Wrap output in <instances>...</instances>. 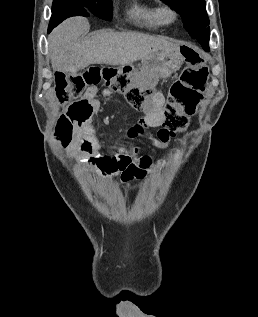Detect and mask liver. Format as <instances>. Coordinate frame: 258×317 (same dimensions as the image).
Segmentation results:
<instances>
[{"mask_svg":"<svg viewBox=\"0 0 258 317\" xmlns=\"http://www.w3.org/2000/svg\"><path fill=\"white\" fill-rule=\"evenodd\" d=\"M90 30L88 18L71 16L49 34L51 64L54 70L78 72L89 64H129L157 50L177 46L167 36H151L143 32H108L98 30L90 38L80 40Z\"/></svg>","mask_w":258,"mask_h":317,"instance_id":"6515ba94","label":"liver"}]
</instances>
